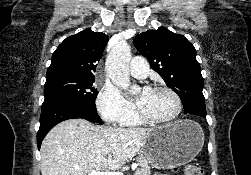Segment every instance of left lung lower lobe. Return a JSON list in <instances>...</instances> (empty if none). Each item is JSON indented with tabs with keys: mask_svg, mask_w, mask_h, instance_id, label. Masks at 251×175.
<instances>
[{
	"mask_svg": "<svg viewBox=\"0 0 251 175\" xmlns=\"http://www.w3.org/2000/svg\"><path fill=\"white\" fill-rule=\"evenodd\" d=\"M184 108L185 114L192 118H206L205 104L186 105Z\"/></svg>",
	"mask_w": 251,
	"mask_h": 175,
	"instance_id": "0a47b994",
	"label": "left lung lower lobe"
}]
</instances>
